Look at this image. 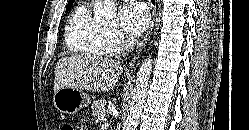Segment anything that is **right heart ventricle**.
Masks as SVG:
<instances>
[{
  "instance_id": "right-heart-ventricle-1",
  "label": "right heart ventricle",
  "mask_w": 249,
  "mask_h": 130,
  "mask_svg": "<svg viewBox=\"0 0 249 130\" xmlns=\"http://www.w3.org/2000/svg\"><path fill=\"white\" fill-rule=\"evenodd\" d=\"M65 42L73 54L103 56L109 52L106 29L92 17L86 2H81L69 16Z\"/></svg>"
}]
</instances>
